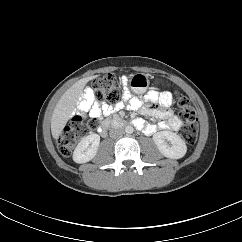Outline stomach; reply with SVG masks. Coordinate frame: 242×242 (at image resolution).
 <instances>
[{
	"label": "stomach",
	"instance_id": "1",
	"mask_svg": "<svg viewBox=\"0 0 242 242\" xmlns=\"http://www.w3.org/2000/svg\"><path fill=\"white\" fill-rule=\"evenodd\" d=\"M129 86L132 92L143 94L149 87V79L145 73L137 72L132 74L129 80Z\"/></svg>",
	"mask_w": 242,
	"mask_h": 242
}]
</instances>
